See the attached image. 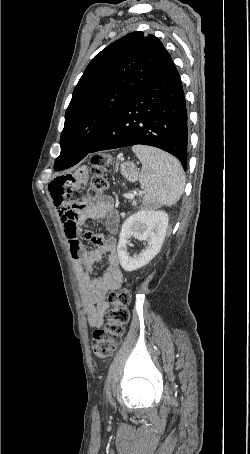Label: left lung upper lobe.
<instances>
[{
  "label": "left lung upper lobe",
  "instance_id": "left-lung-upper-lobe-1",
  "mask_svg": "<svg viewBox=\"0 0 250 454\" xmlns=\"http://www.w3.org/2000/svg\"><path fill=\"white\" fill-rule=\"evenodd\" d=\"M170 59L155 36L140 31L99 52L73 91L60 137V156L86 155L120 109Z\"/></svg>",
  "mask_w": 250,
  "mask_h": 454
}]
</instances>
